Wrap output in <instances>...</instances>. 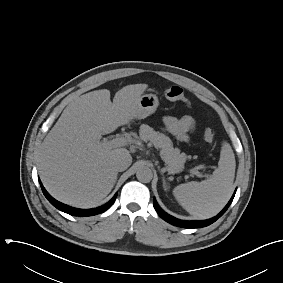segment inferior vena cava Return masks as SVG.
I'll use <instances>...</instances> for the list:
<instances>
[{
    "label": "inferior vena cava",
    "instance_id": "inferior-vena-cava-1",
    "mask_svg": "<svg viewBox=\"0 0 283 283\" xmlns=\"http://www.w3.org/2000/svg\"><path fill=\"white\" fill-rule=\"evenodd\" d=\"M132 162V157L130 154L121 155L115 160V167L117 171L126 170Z\"/></svg>",
    "mask_w": 283,
    "mask_h": 283
}]
</instances>
